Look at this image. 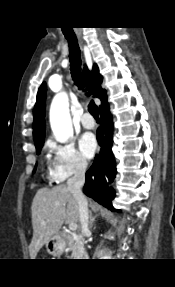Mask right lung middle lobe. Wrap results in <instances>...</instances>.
Returning a JSON list of instances; mask_svg holds the SVG:
<instances>
[{"label":"right lung middle lobe","instance_id":"obj_1","mask_svg":"<svg viewBox=\"0 0 175 287\" xmlns=\"http://www.w3.org/2000/svg\"><path fill=\"white\" fill-rule=\"evenodd\" d=\"M43 143H44V141H41V142H39V143H36V144H35L37 154H39V153H40L41 148H42V146H43ZM34 171H35V170H34Z\"/></svg>","mask_w":175,"mask_h":287}]
</instances>
